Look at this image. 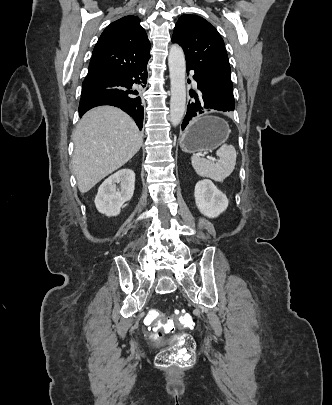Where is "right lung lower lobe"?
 <instances>
[{"mask_svg":"<svg viewBox=\"0 0 332 405\" xmlns=\"http://www.w3.org/2000/svg\"><path fill=\"white\" fill-rule=\"evenodd\" d=\"M147 63L134 69L115 74L98 75L86 78L82 83L79 103V116L93 107L112 105L121 108L136 122L139 129L143 126V103L133 84L144 87L147 81Z\"/></svg>","mask_w":332,"mask_h":405,"instance_id":"98d812e1","label":"right lung lower lobe"}]
</instances>
